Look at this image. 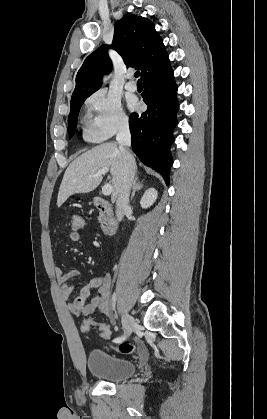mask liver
I'll use <instances>...</instances> for the list:
<instances>
[{
  "label": "liver",
  "instance_id": "obj_1",
  "mask_svg": "<svg viewBox=\"0 0 267 419\" xmlns=\"http://www.w3.org/2000/svg\"><path fill=\"white\" fill-rule=\"evenodd\" d=\"M110 168L112 176V201L117 198L123 175V158L115 143H103L77 157L67 167L58 192L60 207L71 195L93 191L102 181V176L90 178L101 168Z\"/></svg>",
  "mask_w": 267,
  "mask_h": 419
}]
</instances>
